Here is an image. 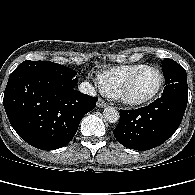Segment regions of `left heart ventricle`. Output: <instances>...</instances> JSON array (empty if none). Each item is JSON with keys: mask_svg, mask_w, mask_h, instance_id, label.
Returning <instances> with one entry per match:
<instances>
[{"mask_svg": "<svg viewBox=\"0 0 195 195\" xmlns=\"http://www.w3.org/2000/svg\"><path fill=\"white\" fill-rule=\"evenodd\" d=\"M159 74L153 70H145L133 81L129 95L133 98H143L152 94L159 85Z\"/></svg>", "mask_w": 195, "mask_h": 195, "instance_id": "b2bd125f", "label": "left heart ventricle"}]
</instances>
